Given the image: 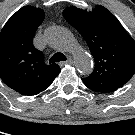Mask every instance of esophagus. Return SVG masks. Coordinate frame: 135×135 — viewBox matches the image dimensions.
<instances>
[{
  "mask_svg": "<svg viewBox=\"0 0 135 135\" xmlns=\"http://www.w3.org/2000/svg\"><path fill=\"white\" fill-rule=\"evenodd\" d=\"M73 63V59L71 57H69L66 61L62 62L61 64H72Z\"/></svg>",
  "mask_w": 135,
  "mask_h": 135,
  "instance_id": "1",
  "label": "esophagus"
}]
</instances>
